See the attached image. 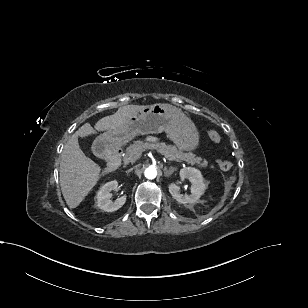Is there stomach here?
Segmentation results:
<instances>
[{"label": "stomach", "instance_id": "0dacf381", "mask_svg": "<svg viewBox=\"0 0 308 308\" xmlns=\"http://www.w3.org/2000/svg\"><path fill=\"white\" fill-rule=\"evenodd\" d=\"M160 132H165L182 151H193L199 146V132L195 124L181 109L170 104H153L136 111L122 128L104 132L93 145L104 153L139 134Z\"/></svg>", "mask_w": 308, "mask_h": 308}]
</instances>
